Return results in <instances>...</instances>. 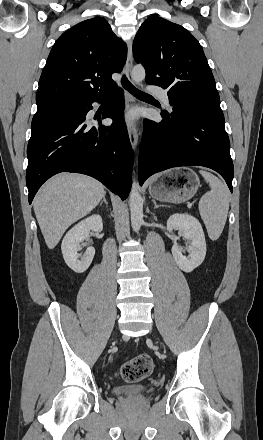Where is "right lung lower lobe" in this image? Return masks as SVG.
I'll list each match as a JSON object with an SVG mask.
<instances>
[{
	"mask_svg": "<svg viewBox=\"0 0 263 440\" xmlns=\"http://www.w3.org/2000/svg\"><path fill=\"white\" fill-rule=\"evenodd\" d=\"M108 100L103 118L111 126H90L86 114L93 102ZM75 117L64 119L31 135L27 147L26 184L31 204L40 186L59 172H76L102 182L122 200L131 187L132 148L123 119V91L116 86L106 93L75 102Z\"/></svg>",
	"mask_w": 263,
	"mask_h": 440,
	"instance_id": "1",
	"label": "right lung lower lobe"
}]
</instances>
